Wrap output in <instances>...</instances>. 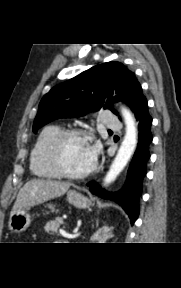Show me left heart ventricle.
Wrapping results in <instances>:
<instances>
[{"mask_svg": "<svg viewBox=\"0 0 181 288\" xmlns=\"http://www.w3.org/2000/svg\"><path fill=\"white\" fill-rule=\"evenodd\" d=\"M89 149L88 142L84 139H69L63 149L65 166L72 172H83L88 169L93 162Z\"/></svg>", "mask_w": 181, "mask_h": 288, "instance_id": "left-heart-ventricle-1", "label": "left heart ventricle"}]
</instances>
